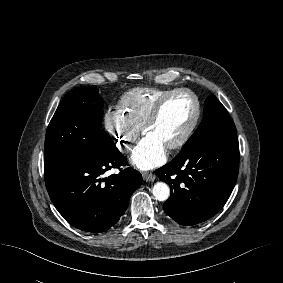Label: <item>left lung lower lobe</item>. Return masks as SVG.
Listing matches in <instances>:
<instances>
[{
	"label": "left lung lower lobe",
	"instance_id": "1",
	"mask_svg": "<svg viewBox=\"0 0 283 283\" xmlns=\"http://www.w3.org/2000/svg\"><path fill=\"white\" fill-rule=\"evenodd\" d=\"M238 166L236 134L182 149L171 162L155 171L171 188L164 211L181 225H195L213 217L235 186Z\"/></svg>",
	"mask_w": 283,
	"mask_h": 283
}]
</instances>
